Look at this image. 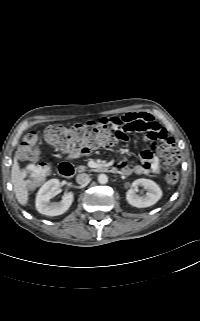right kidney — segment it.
I'll return each instance as SVG.
<instances>
[{"label": "right kidney", "mask_w": 200, "mask_h": 321, "mask_svg": "<svg viewBox=\"0 0 200 321\" xmlns=\"http://www.w3.org/2000/svg\"><path fill=\"white\" fill-rule=\"evenodd\" d=\"M60 187L58 179L47 181L38 191L36 196V209L47 216H58L66 212L73 202V193L68 192L59 203H50L56 190Z\"/></svg>", "instance_id": "1"}]
</instances>
